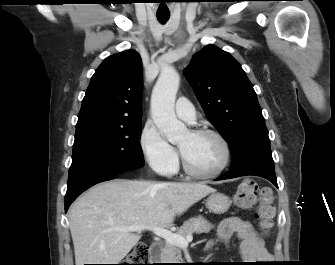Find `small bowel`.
Listing matches in <instances>:
<instances>
[{
    "instance_id": "obj_1",
    "label": "small bowel",
    "mask_w": 335,
    "mask_h": 265,
    "mask_svg": "<svg viewBox=\"0 0 335 265\" xmlns=\"http://www.w3.org/2000/svg\"><path fill=\"white\" fill-rule=\"evenodd\" d=\"M235 236L239 240L238 251L247 263H266L271 254L266 250L264 242L252 224L236 217L224 219L218 226L217 242L225 245ZM215 241L209 243L211 247Z\"/></svg>"
}]
</instances>
